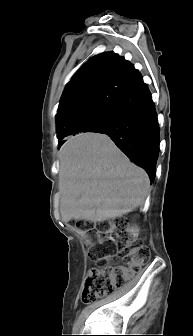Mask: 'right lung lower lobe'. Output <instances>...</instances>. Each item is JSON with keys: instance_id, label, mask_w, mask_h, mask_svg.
<instances>
[{"instance_id": "obj_1", "label": "right lung lower lobe", "mask_w": 193, "mask_h": 336, "mask_svg": "<svg viewBox=\"0 0 193 336\" xmlns=\"http://www.w3.org/2000/svg\"><path fill=\"white\" fill-rule=\"evenodd\" d=\"M107 134L131 161L144 168L151 181L159 155V124L147 85L138 73L114 102L104 126Z\"/></svg>"}]
</instances>
